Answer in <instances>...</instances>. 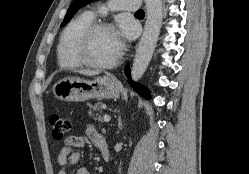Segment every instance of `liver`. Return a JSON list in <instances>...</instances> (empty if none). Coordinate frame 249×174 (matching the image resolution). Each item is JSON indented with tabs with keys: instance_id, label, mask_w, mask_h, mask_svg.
<instances>
[{
	"instance_id": "6515ba94",
	"label": "liver",
	"mask_w": 249,
	"mask_h": 174,
	"mask_svg": "<svg viewBox=\"0 0 249 174\" xmlns=\"http://www.w3.org/2000/svg\"><path fill=\"white\" fill-rule=\"evenodd\" d=\"M79 73L83 74V75H87V76H94V75L98 74L99 72H97V71L83 70V71H79Z\"/></svg>"
}]
</instances>
